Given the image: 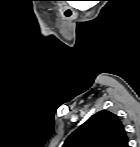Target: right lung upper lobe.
Here are the masks:
<instances>
[{"label":"right lung upper lobe","instance_id":"cb5924a9","mask_svg":"<svg viewBox=\"0 0 140 147\" xmlns=\"http://www.w3.org/2000/svg\"><path fill=\"white\" fill-rule=\"evenodd\" d=\"M62 147H128V137L118 116L102 110L69 135Z\"/></svg>","mask_w":140,"mask_h":147}]
</instances>
